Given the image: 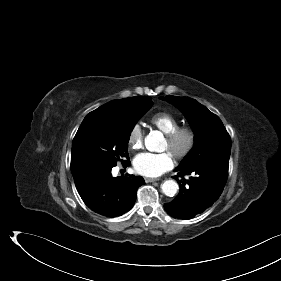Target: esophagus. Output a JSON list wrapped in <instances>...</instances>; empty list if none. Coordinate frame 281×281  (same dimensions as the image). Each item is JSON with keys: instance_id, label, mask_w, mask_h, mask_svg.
<instances>
[{"instance_id": "obj_1", "label": "esophagus", "mask_w": 281, "mask_h": 281, "mask_svg": "<svg viewBox=\"0 0 281 281\" xmlns=\"http://www.w3.org/2000/svg\"><path fill=\"white\" fill-rule=\"evenodd\" d=\"M145 181H146L147 183H149V182L159 181V179H157V178H145Z\"/></svg>"}]
</instances>
